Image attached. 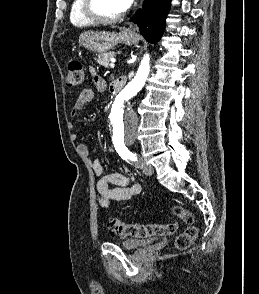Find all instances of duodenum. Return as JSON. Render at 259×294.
Returning a JSON list of instances; mask_svg holds the SVG:
<instances>
[{"label":"duodenum","instance_id":"1","mask_svg":"<svg viewBox=\"0 0 259 294\" xmlns=\"http://www.w3.org/2000/svg\"><path fill=\"white\" fill-rule=\"evenodd\" d=\"M126 80L125 78L121 77L114 81L112 89L114 94H119L123 87L125 86Z\"/></svg>","mask_w":259,"mask_h":294}]
</instances>
